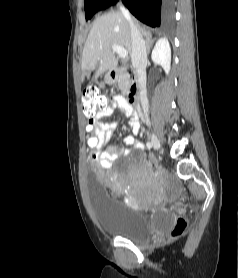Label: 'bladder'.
I'll list each match as a JSON object with an SVG mask.
<instances>
[{
  "label": "bladder",
  "instance_id": "1",
  "mask_svg": "<svg viewBox=\"0 0 238 278\" xmlns=\"http://www.w3.org/2000/svg\"><path fill=\"white\" fill-rule=\"evenodd\" d=\"M87 180H98V175H87ZM95 218L107 234L119 236L133 242H143L155 234L168 230L174 216L163 210L149 214L134 209L105 193L99 181H87Z\"/></svg>",
  "mask_w": 238,
  "mask_h": 278
}]
</instances>
